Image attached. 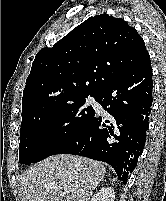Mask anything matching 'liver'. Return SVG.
Masks as SVG:
<instances>
[{
  "instance_id": "1",
  "label": "liver",
  "mask_w": 166,
  "mask_h": 201,
  "mask_svg": "<svg viewBox=\"0 0 166 201\" xmlns=\"http://www.w3.org/2000/svg\"><path fill=\"white\" fill-rule=\"evenodd\" d=\"M105 173L100 162L88 158L51 156L22 174V201H88Z\"/></svg>"
}]
</instances>
